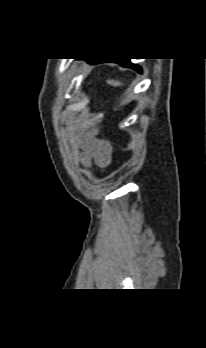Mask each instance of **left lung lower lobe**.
I'll list each match as a JSON object with an SVG mask.
<instances>
[{
	"label": "left lung lower lobe",
	"instance_id": "left-lung-lower-lobe-1",
	"mask_svg": "<svg viewBox=\"0 0 206 348\" xmlns=\"http://www.w3.org/2000/svg\"><path fill=\"white\" fill-rule=\"evenodd\" d=\"M87 60L91 63L115 62V63H119L123 67L132 68V69L138 71L139 73H141V68L135 64H132L129 59H121V60L87 59Z\"/></svg>",
	"mask_w": 206,
	"mask_h": 348
}]
</instances>
